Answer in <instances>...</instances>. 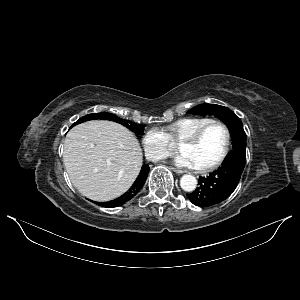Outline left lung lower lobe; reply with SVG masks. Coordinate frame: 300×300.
Listing matches in <instances>:
<instances>
[{
  "label": "left lung lower lobe",
  "mask_w": 300,
  "mask_h": 300,
  "mask_svg": "<svg viewBox=\"0 0 300 300\" xmlns=\"http://www.w3.org/2000/svg\"><path fill=\"white\" fill-rule=\"evenodd\" d=\"M246 162V152L231 151L218 170L206 178L199 177L198 187L188 194L196 206L209 207L221 203L235 190Z\"/></svg>",
  "instance_id": "left-lung-lower-lobe-1"
}]
</instances>
